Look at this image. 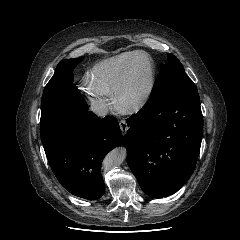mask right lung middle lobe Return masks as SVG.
I'll return each mask as SVG.
<instances>
[{
  "instance_id": "1",
  "label": "right lung middle lobe",
  "mask_w": 240,
  "mask_h": 240,
  "mask_svg": "<svg viewBox=\"0 0 240 240\" xmlns=\"http://www.w3.org/2000/svg\"><path fill=\"white\" fill-rule=\"evenodd\" d=\"M83 58L65 59L57 65L53 77L43 91L40 126L53 118L59 111L68 112L71 100L80 96L73 84V70Z\"/></svg>"
}]
</instances>
